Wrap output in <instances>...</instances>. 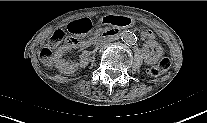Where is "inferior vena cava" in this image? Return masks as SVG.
Wrapping results in <instances>:
<instances>
[{
    "label": "inferior vena cava",
    "mask_w": 207,
    "mask_h": 123,
    "mask_svg": "<svg viewBox=\"0 0 207 123\" xmlns=\"http://www.w3.org/2000/svg\"><path fill=\"white\" fill-rule=\"evenodd\" d=\"M108 45H109V43L107 40H101L99 43H97V47H100V48H105Z\"/></svg>",
    "instance_id": "602c4592"
}]
</instances>
